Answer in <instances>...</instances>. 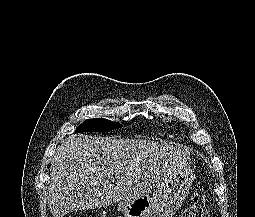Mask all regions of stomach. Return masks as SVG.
<instances>
[{
    "label": "stomach",
    "mask_w": 255,
    "mask_h": 217,
    "mask_svg": "<svg viewBox=\"0 0 255 217\" xmlns=\"http://www.w3.org/2000/svg\"><path fill=\"white\" fill-rule=\"evenodd\" d=\"M194 172L187 166L164 181L153 194L119 203L124 217H173L188 196Z\"/></svg>",
    "instance_id": "stomach-1"
}]
</instances>
